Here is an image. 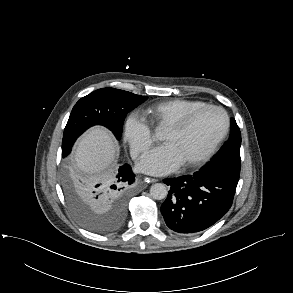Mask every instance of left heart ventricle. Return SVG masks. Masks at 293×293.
Returning <instances> with one entry per match:
<instances>
[{
    "mask_svg": "<svg viewBox=\"0 0 293 293\" xmlns=\"http://www.w3.org/2000/svg\"><path fill=\"white\" fill-rule=\"evenodd\" d=\"M223 115L216 110L199 114L188 127L180 132L164 131L163 140L174 149L182 164L201 156L220 135L224 128Z\"/></svg>",
    "mask_w": 293,
    "mask_h": 293,
    "instance_id": "b2bd125f",
    "label": "left heart ventricle"
}]
</instances>
